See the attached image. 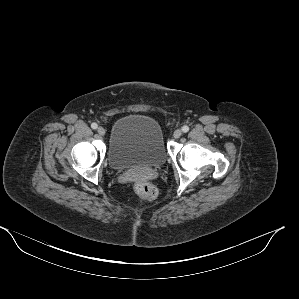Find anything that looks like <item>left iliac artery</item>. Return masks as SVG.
Returning a JSON list of instances; mask_svg holds the SVG:
<instances>
[{
	"label": "left iliac artery",
	"instance_id": "44dca946",
	"mask_svg": "<svg viewBox=\"0 0 299 299\" xmlns=\"http://www.w3.org/2000/svg\"><path fill=\"white\" fill-rule=\"evenodd\" d=\"M182 131L185 132V133L188 132V131H189V127L186 126V125L183 126V127H182Z\"/></svg>",
	"mask_w": 299,
	"mask_h": 299
}]
</instances>
